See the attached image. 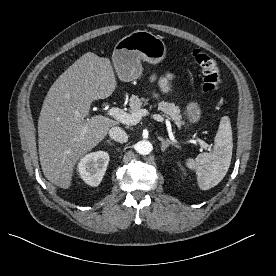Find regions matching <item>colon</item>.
I'll list each match as a JSON object with an SVG mask.
<instances>
[{"instance_id": "5ec220e1", "label": "colon", "mask_w": 276, "mask_h": 276, "mask_svg": "<svg viewBox=\"0 0 276 276\" xmlns=\"http://www.w3.org/2000/svg\"><path fill=\"white\" fill-rule=\"evenodd\" d=\"M192 56L202 72L203 91L209 94L216 93L222 83L221 71L217 62L199 49L194 50Z\"/></svg>"}]
</instances>
